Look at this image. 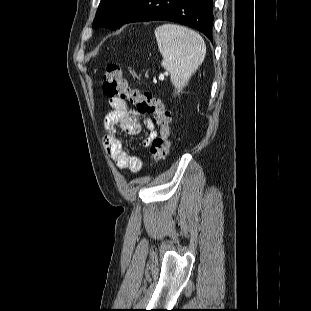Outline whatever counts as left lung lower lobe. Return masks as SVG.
Returning <instances> with one entry per match:
<instances>
[{
    "label": "left lung lower lobe",
    "mask_w": 311,
    "mask_h": 311,
    "mask_svg": "<svg viewBox=\"0 0 311 311\" xmlns=\"http://www.w3.org/2000/svg\"><path fill=\"white\" fill-rule=\"evenodd\" d=\"M157 20L189 26L212 40V0H133L122 14L117 28L127 23Z\"/></svg>",
    "instance_id": "1"
}]
</instances>
